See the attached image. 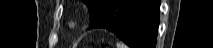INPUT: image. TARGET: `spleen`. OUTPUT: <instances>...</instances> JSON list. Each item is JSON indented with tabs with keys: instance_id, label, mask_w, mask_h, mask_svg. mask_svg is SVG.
<instances>
[{
	"instance_id": "spleen-1",
	"label": "spleen",
	"mask_w": 213,
	"mask_h": 48,
	"mask_svg": "<svg viewBox=\"0 0 213 48\" xmlns=\"http://www.w3.org/2000/svg\"><path fill=\"white\" fill-rule=\"evenodd\" d=\"M116 47H117V48H128L124 43H121V42H118V43L116 44Z\"/></svg>"
}]
</instances>
